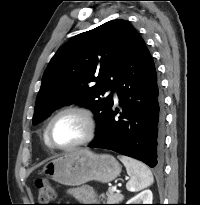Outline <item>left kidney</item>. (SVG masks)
<instances>
[{
	"mask_svg": "<svg viewBox=\"0 0 200 205\" xmlns=\"http://www.w3.org/2000/svg\"><path fill=\"white\" fill-rule=\"evenodd\" d=\"M152 200H153L152 191L147 189L140 192L130 200H128L126 204H152Z\"/></svg>",
	"mask_w": 200,
	"mask_h": 205,
	"instance_id": "5707ae66",
	"label": "left kidney"
}]
</instances>
